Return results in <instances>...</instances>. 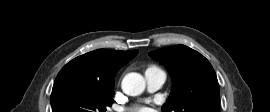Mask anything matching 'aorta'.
I'll list each match as a JSON object with an SVG mask.
<instances>
[{
    "label": "aorta",
    "instance_id": "762f6f07",
    "mask_svg": "<svg viewBox=\"0 0 270 112\" xmlns=\"http://www.w3.org/2000/svg\"><path fill=\"white\" fill-rule=\"evenodd\" d=\"M121 86L125 94L130 96H137L144 91L145 80L141 74L131 72L124 76Z\"/></svg>",
    "mask_w": 270,
    "mask_h": 112
}]
</instances>
